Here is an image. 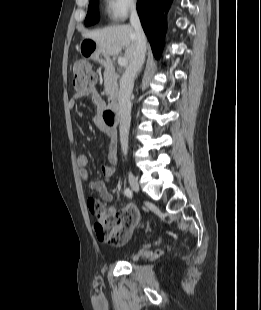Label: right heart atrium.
Instances as JSON below:
<instances>
[{
	"label": "right heart atrium",
	"instance_id": "1",
	"mask_svg": "<svg viewBox=\"0 0 261 310\" xmlns=\"http://www.w3.org/2000/svg\"><path fill=\"white\" fill-rule=\"evenodd\" d=\"M109 18L116 23L123 22L133 13L138 5V0H106Z\"/></svg>",
	"mask_w": 261,
	"mask_h": 310
}]
</instances>
